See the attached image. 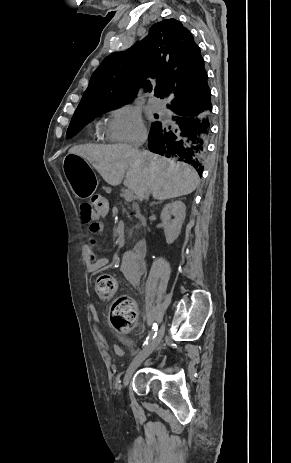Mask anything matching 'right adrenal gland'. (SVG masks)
Masks as SVG:
<instances>
[{
  "instance_id": "1",
  "label": "right adrenal gland",
  "mask_w": 291,
  "mask_h": 463,
  "mask_svg": "<svg viewBox=\"0 0 291 463\" xmlns=\"http://www.w3.org/2000/svg\"><path fill=\"white\" fill-rule=\"evenodd\" d=\"M162 201H158V202H152L150 206H153L154 204H158V203H161Z\"/></svg>"
}]
</instances>
